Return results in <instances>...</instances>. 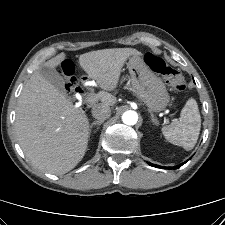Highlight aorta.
Wrapping results in <instances>:
<instances>
[{
	"label": "aorta",
	"instance_id": "aorta-1",
	"mask_svg": "<svg viewBox=\"0 0 225 225\" xmlns=\"http://www.w3.org/2000/svg\"><path fill=\"white\" fill-rule=\"evenodd\" d=\"M122 121L126 125H135L138 121V114L133 110H128L123 113Z\"/></svg>",
	"mask_w": 225,
	"mask_h": 225
}]
</instances>
